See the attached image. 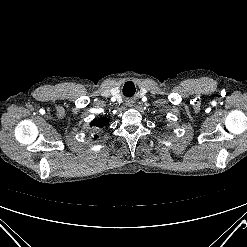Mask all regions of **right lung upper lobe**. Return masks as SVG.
<instances>
[{
	"mask_svg": "<svg viewBox=\"0 0 247 247\" xmlns=\"http://www.w3.org/2000/svg\"><path fill=\"white\" fill-rule=\"evenodd\" d=\"M108 122L109 120L107 118H98V119H94L91 125L95 127L103 128L104 126L108 125ZM94 138L96 139L98 138V136L96 135Z\"/></svg>",
	"mask_w": 247,
	"mask_h": 247,
	"instance_id": "1",
	"label": "right lung upper lobe"
}]
</instances>
